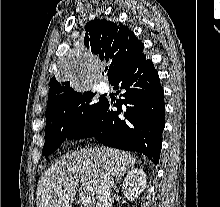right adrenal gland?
<instances>
[{"mask_svg":"<svg viewBox=\"0 0 220 207\" xmlns=\"http://www.w3.org/2000/svg\"><path fill=\"white\" fill-rule=\"evenodd\" d=\"M121 179H122V176H118L117 179H116V184H118ZM116 184H114V186H113L114 189L117 188V185H116Z\"/></svg>","mask_w":220,"mask_h":207,"instance_id":"1","label":"right adrenal gland"}]
</instances>
